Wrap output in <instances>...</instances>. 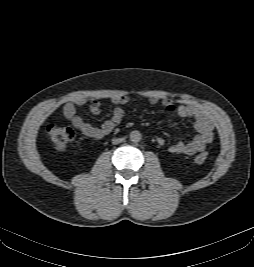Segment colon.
<instances>
[{
    "mask_svg": "<svg viewBox=\"0 0 254 267\" xmlns=\"http://www.w3.org/2000/svg\"><path fill=\"white\" fill-rule=\"evenodd\" d=\"M47 134L54 147L59 152H64L68 145L75 139V132L68 126L51 124L47 127ZM207 153H200L195 157L199 164L207 160Z\"/></svg>",
    "mask_w": 254,
    "mask_h": 267,
    "instance_id": "1",
    "label": "colon"
}]
</instances>
